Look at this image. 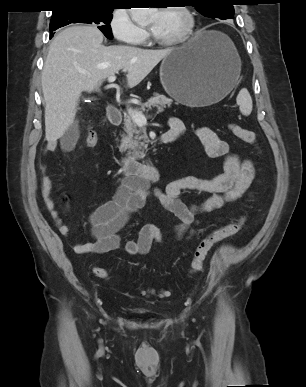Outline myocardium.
<instances>
[{"label": "myocardium", "instance_id": "1", "mask_svg": "<svg viewBox=\"0 0 306 387\" xmlns=\"http://www.w3.org/2000/svg\"><path fill=\"white\" fill-rule=\"evenodd\" d=\"M162 9H177L179 10L186 18V25L183 29V31L176 37L171 39H159L154 35V33H151L152 40L162 46H173L178 45L186 42L190 36L192 35L195 25H196V17L194 12L190 9V7L186 5H179V6H167Z\"/></svg>", "mask_w": 306, "mask_h": 387}]
</instances>
